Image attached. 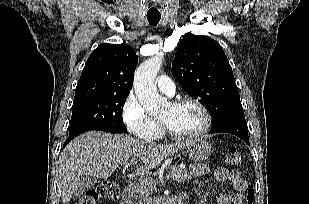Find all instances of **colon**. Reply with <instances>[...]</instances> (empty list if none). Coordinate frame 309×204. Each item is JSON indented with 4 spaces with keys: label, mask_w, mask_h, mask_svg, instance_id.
Returning a JSON list of instances; mask_svg holds the SVG:
<instances>
[{
    "label": "colon",
    "mask_w": 309,
    "mask_h": 204,
    "mask_svg": "<svg viewBox=\"0 0 309 204\" xmlns=\"http://www.w3.org/2000/svg\"><path fill=\"white\" fill-rule=\"evenodd\" d=\"M225 162L230 166H238L242 163V158L235 147H229L225 153ZM121 187L117 182L106 181L95 188H91L83 193L74 204H96L100 199L107 198L115 200L119 197ZM254 189H247L246 204H253Z\"/></svg>",
    "instance_id": "1"
}]
</instances>
